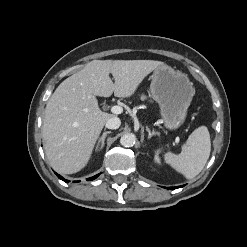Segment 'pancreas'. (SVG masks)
<instances>
[{
	"label": "pancreas",
	"mask_w": 247,
	"mask_h": 247,
	"mask_svg": "<svg viewBox=\"0 0 247 247\" xmlns=\"http://www.w3.org/2000/svg\"><path fill=\"white\" fill-rule=\"evenodd\" d=\"M140 99H141V100H145V99H146V96H145V95H142V96L140 97Z\"/></svg>",
	"instance_id": "1"
}]
</instances>
